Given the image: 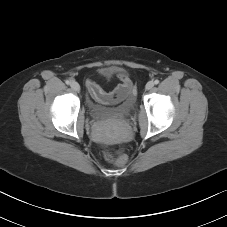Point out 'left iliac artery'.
Segmentation results:
<instances>
[{
    "label": "left iliac artery",
    "mask_w": 227,
    "mask_h": 227,
    "mask_svg": "<svg viewBox=\"0 0 227 227\" xmlns=\"http://www.w3.org/2000/svg\"><path fill=\"white\" fill-rule=\"evenodd\" d=\"M158 83H159V80L156 79V80L154 81V84H158Z\"/></svg>",
    "instance_id": "left-iliac-artery-1"
}]
</instances>
